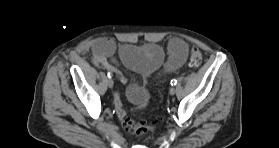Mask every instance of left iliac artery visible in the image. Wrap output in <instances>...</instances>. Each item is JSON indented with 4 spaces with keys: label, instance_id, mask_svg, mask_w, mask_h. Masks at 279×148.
Returning <instances> with one entry per match:
<instances>
[{
    "label": "left iliac artery",
    "instance_id": "44dca946",
    "mask_svg": "<svg viewBox=\"0 0 279 148\" xmlns=\"http://www.w3.org/2000/svg\"><path fill=\"white\" fill-rule=\"evenodd\" d=\"M176 84H177V80H176V79H172V80H171V85H172V86H175Z\"/></svg>",
    "mask_w": 279,
    "mask_h": 148
}]
</instances>
